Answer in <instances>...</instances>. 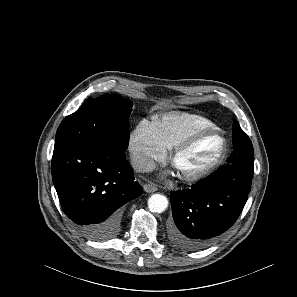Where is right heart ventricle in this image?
I'll return each instance as SVG.
<instances>
[{"label":"right heart ventricle","instance_id":"e07e8e85","mask_svg":"<svg viewBox=\"0 0 297 297\" xmlns=\"http://www.w3.org/2000/svg\"><path fill=\"white\" fill-rule=\"evenodd\" d=\"M159 141L166 149H173L181 140L199 129L216 128L209 119L188 112L171 111L153 121Z\"/></svg>","mask_w":297,"mask_h":297}]
</instances>
